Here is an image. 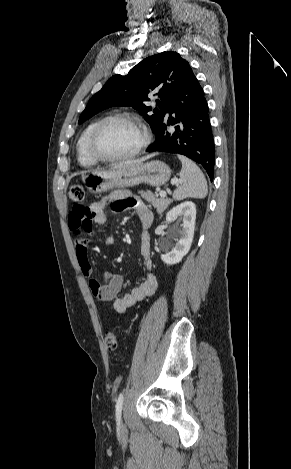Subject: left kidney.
Masks as SVG:
<instances>
[{
	"instance_id": "5707ae66",
	"label": "left kidney",
	"mask_w": 291,
	"mask_h": 469,
	"mask_svg": "<svg viewBox=\"0 0 291 469\" xmlns=\"http://www.w3.org/2000/svg\"><path fill=\"white\" fill-rule=\"evenodd\" d=\"M181 220V229L176 233V244L171 251L161 255V259L167 265L179 263L189 252L194 236L196 206L193 202L187 201L172 208L166 215V222Z\"/></svg>"
}]
</instances>
